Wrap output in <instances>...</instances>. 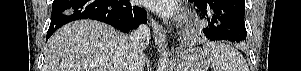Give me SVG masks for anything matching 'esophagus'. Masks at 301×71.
I'll use <instances>...</instances> for the list:
<instances>
[{
	"label": "esophagus",
	"mask_w": 301,
	"mask_h": 71,
	"mask_svg": "<svg viewBox=\"0 0 301 71\" xmlns=\"http://www.w3.org/2000/svg\"><path fill=\"white\" fill-rule=\"evenodd\" d=\"M151 26L154 34L155 44L160 49L164 45L166 31L155 20L151 19Z\"/></svg>",
	"instance_id": "1"
}]
</instances>
